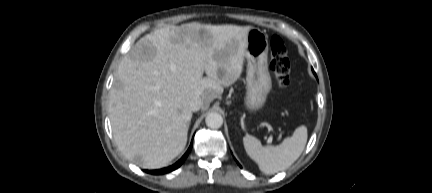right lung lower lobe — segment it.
I'll list each match as a JSON object with an SVG mask.
<instances>
[{"label":"right lung lower lobe","instance_id":"1","mask_svg":"<svg viewBox=\"0 0 432 193\" xmlns=\"http://www.w3.org/2000/svg\"><path fill=\"white\" fill-rule=\"evenodd\" d=\"M191 148H192V143H191L189 149L187 150V152H186V153L182 156V158H181L179 161H177L174 165H172V166H170V167H167V168L160 169V170H151V171L146 170V172H147V173H150V174H164V173H168V172H171V171L177 169V168L180 167L181 164L184 162V160H185L186 157L188 156V154H189Z\"/></svg>","mask_w":432,"mask_h":193}]
</instances>
